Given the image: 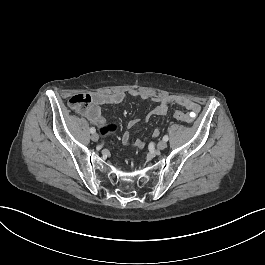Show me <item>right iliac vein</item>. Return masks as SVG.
Masks as SVG:
<instances>
[{
  "mask_svg": "<svg viewBox=\"0 0 265 265\" xmlns=\"http://www.w3.org/2000/svg\"><path fill=\"white\" fill-rule=\"evenodd\" d=\"M91 139H92V141L96 142V141L99 140V135H98L97 133H93V134L91 135Z\"/></svg>",
  "mask_w": 265,
  "mask_h": 265,
  "instance_id": "obj_1",
  "label": "right iliac vein"
}]
</instances>
